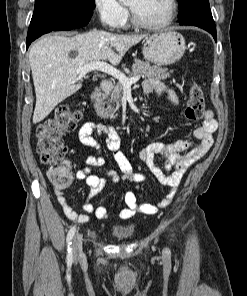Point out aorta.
I'll list each match as a JSON object with an SVG mask.
<instances>
[{"mask_svg": "<svg viewBox=\"0 0 247 296\" xmlns=\"http://www.w3.org/2000/svg\"><path fill=\"white\" fill-rule=\"evenodd\" d=\"M126 1H128V0H119V2H126Z\"/></svg>", "mask_w": 247, "mask_h": 296, "instance_id": "aorta-1", "label": "aorta"}]
</instances>
